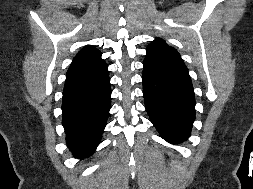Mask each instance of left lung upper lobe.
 <instances>
[{
	"mask_svg": "<svg viewBox=\"0 0 253 189\" xmlns=\"http://www.w3.org/2000/svg\"><path fill=\"white\" fill-rule=\"evenodd\" d=\"M146 51L145 63L163 65L188 73L180 54L176 49L168 46L164 40L156 38L147 46Z\"/></svg>",
	"mask_w": 253,
	"mask_h": 189,
	"instance_id": "5c2ea615",
	"label": "left lung upper lobe"
}]
</instances>
